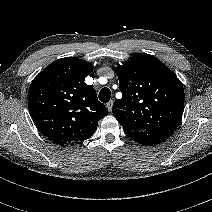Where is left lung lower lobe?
I'll return each instance as SVG.
<instances>
[{"label": "left lung lower lobe", "instance_id": "0a47b994", "mask_svg": "<svg viewBox=\"0 0 212 212\" xmlns=\"http://www.w3.org/2000/svg\"><path fill=\"white\" fill-rule=\"evenodd\" d=\"M173 134L172 130L146 129L131 131L127 135L142 145H156L164 142Z\"/></svg>", "mask_w": 212, "mask_h": 212}]
</instances>
